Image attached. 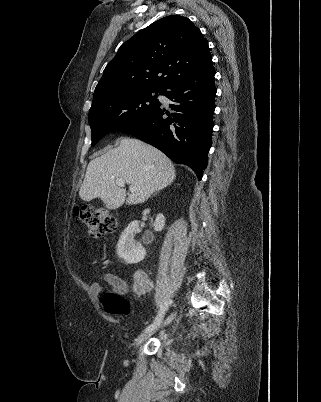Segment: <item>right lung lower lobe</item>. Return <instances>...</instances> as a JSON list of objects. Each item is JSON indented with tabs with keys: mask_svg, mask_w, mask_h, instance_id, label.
<instances>
[{
	"mask_svg": "<svg viewBox=\"0 0 321 402\" xmlns=\"http://www.w3.org/2000/svg\"><path fill=\"white\" fill-rule=\"evenodd\" d=\"M214 75L210 64L176 79L162 93L173 101L170 108L174 113L166 117L167 112L160 105L151 114L118 130L153 145L174 162L188 165L201 180L212 144Z\"/></svg>",
	"mask_w": 321,
	"mask_h": 402,
	"instance_id": "1",
	"label": "right lung lower lobe"
}]
</instances>
